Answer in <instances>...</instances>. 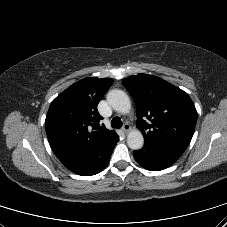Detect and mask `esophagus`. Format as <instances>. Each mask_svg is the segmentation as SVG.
Returning <instances> with one entry per match:
<instances>
[{
	"label": "esophagus",
	"mask_w": 227,
	"mask_h": 227,
	"mask_svg": "<svg viewBox=\"0 0 227 227\" xmlns=\"http://www.w3.org/2000/svg\"><path fill=\"white\" fill-rule=\"evenodd\" d=\"M122 130L124 133H128L131 130V126L129 124H124Z\"/></svg>",
	"instance_id": "obj_1"
}]
</instances>
